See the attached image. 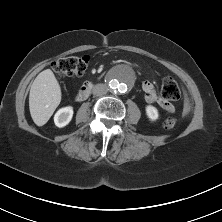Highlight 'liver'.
<instances>
[{
	"mask_svg": "<svg viewBox=\"0 0 222 222\" xmlns=\"http://www.w3.org/2000/svg\"><path fill=\"white\" fill-rule=\"evenodd\" d=\"M61 88L50 69L40 72L31 85L29 109L37 126H43L61 102Z\"/></svg>",
	"mask_w": 222,
	"mask_h": 222,
	"instance_id": "liver-1",
	"label": "liver"
}]
</instances>
